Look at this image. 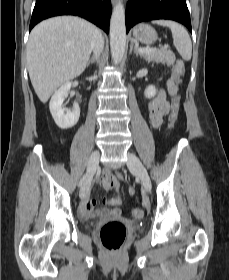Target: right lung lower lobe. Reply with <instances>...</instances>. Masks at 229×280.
Wrapping results in <instances>:
<instances>
[{"label": "right lung lower lobe", "mask_w": 229, "mask_h": 280, "mask_svg": "<svg viewBox=\"0 0 229 280\" xmlns=\"http://www.w3.org/2000/svg\"><path fill=\"white\" fill-rule=\"evenodd\" d=\"M58 15L83 17L109 32L110 0H36L29 31L40 21Z\"/></svg>", "instance_id": "right-lung-lower-lobe-1"}]
</instances>
